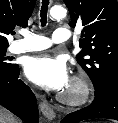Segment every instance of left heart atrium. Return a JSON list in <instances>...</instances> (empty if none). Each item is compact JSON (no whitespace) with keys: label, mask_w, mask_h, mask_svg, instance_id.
I'll use <instances>...</instances> for the list:
<instances>
[{"label":"left heart atrium","mask_w":118,"mask_h":123,"mask_svg":"<svg viewBox=\"0 0 118 123\" xmlns=\"http://www.w3.org/2000/svg\"><path fill=\"white\" fill-rule=\"evenodd\" d=\"M25 74L36 85L50 90L62 91L69 84L65 62L51 55H41L28 59L25 64Z\"/></svg>","instance_id":"obj_1"}]
</instances>
